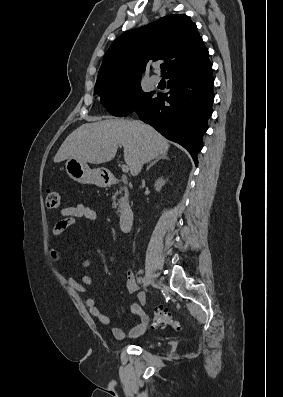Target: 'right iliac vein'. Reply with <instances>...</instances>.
<instances>
[{
    "mask_svg": "<svg viewBox=\"0 0 283 397\" xmlns=\"http://www.w3.org/2000/svg\"><path fill=\"white\" fill-rule=\"evenodd\" d=\"M152 282V278L149 275H146L144 280V285L148 286Z\"/></svg>",
    "mask_w": 283,
    "mask_h": 397,
    "instance_id": "63e3f726",
    "label": "right iliac vein"
}]
</instances>
